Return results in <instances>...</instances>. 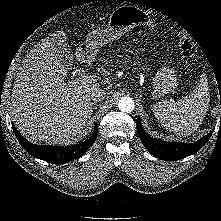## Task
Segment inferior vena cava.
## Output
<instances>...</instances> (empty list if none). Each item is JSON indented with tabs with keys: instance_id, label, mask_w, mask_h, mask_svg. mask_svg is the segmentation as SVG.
I'll list each match as a JSON object with an SVG mask.
<instances>
[{
	"instance_id": "1",
	"label": "inferior vena cava",
	"mask_w": 221,
	"mask_h": 221,
	"mask_svg": "<svg viewBox=\"0 0 221 221\" xmlns=\"http://www.w3.org/2000/svg\"><path fill=\"white\" fill-rule=\"evenodd\" d=\"M89 94L90 100L94 102L102 101L106 96V92L99 88L93 89Z\"/></svg>"
}]
</instances>
